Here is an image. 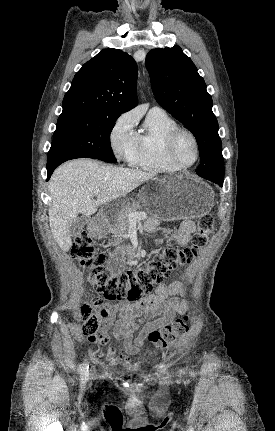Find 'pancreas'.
<instances>
[{
  "instance_id": "pancreas-1",
  "label": "pancreas",
  "mask_w": 275,
  "mask_h": 431,
  "mask_svg": "<svg viewBox=\"0 0 275 431\" xmlns=\"http://www.w3.org/2000/svg\"><path fill=\"white\" fill-rule=\"evenodd\" d=\"M137 208H141L140 202L133 200L129 206L118 211L116 216V223L114 228L112 229V234L114 238L113 244L115 246H117L123 238H127V230L130 223L128 214L130 212H135Z\"/></svg>"
}]
</instances>
